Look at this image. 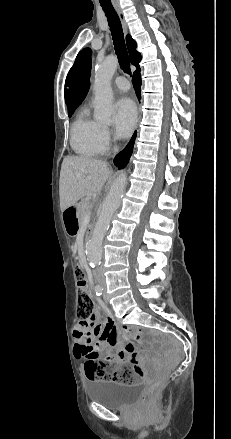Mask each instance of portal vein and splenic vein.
I'll use <instances>...</instances> for the list:
<instances>
[{
    "instance_id": "18ae733b",
    "label": "portal vein and splenic vein",
    "mask_w": 231,
    "mask_h": 439,
    "mask_svg": "<svg viewBox=\"0 0 231 439\" xmlns=\"http://www.w3.org/2000/svg\"><path fill=\"white\" fill-rule=\"evenodd\" d=\"M90 215H91V211H89V212H88V214H87V217H86V218L88 219V218L90 217Z\"/></svg>"
}]
</instances>
